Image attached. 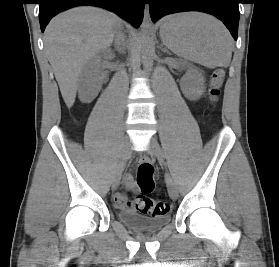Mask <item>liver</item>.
Returning a JSON list of instances; mask_svg holds the SVG:
<instances>
[{"instance_id":"6515ba94","label":"liver","mask_w":279,"mask_h":267,"mask_svg":"<svg viewBox=\"0 0 279 267\" xmlns=\"http://www.w3.org/2000/svg\"><path fill=\"white\" fill-rule=\"evenodd\" d=\"M121 24L122 20L114 13L81 6L60 13L47 25L46 55L68 108L75 102L84 65L111 45Z\"/></svg>"}]
</instances>
